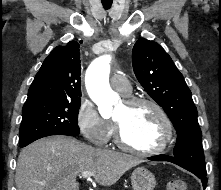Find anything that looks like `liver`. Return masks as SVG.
Masks as SVG:
<instances>
[{"label": "liver", "mask_w": 221, "mask_h": 190, "mask_svg": "<svg viewBox=\"0 0 221 190\" xmlns=\"http://www.w3.org/2000/svg\"><path fill=\"white\" fill-rule=\"evenodd\" d=\"M141 162L137 156L55 136L40 139L22 149L15 182L17 190H78L76 177L90 171L94 172L97 183L111 186Z\"/></svg>", "instance_id": "obj_1"}]
</instances>
